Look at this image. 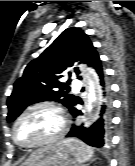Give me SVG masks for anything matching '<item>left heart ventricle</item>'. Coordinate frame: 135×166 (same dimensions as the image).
Returning <instances> with one entry per match:
<instances>
[{"label":"left heart ventricle","mask_w":135,"mask_h":166,"mask_svg":"<svg viewBox=\"0 0 135 166\" xmlns=\"http://www.w3.org/2000/svg\"><path fill=\"white\" fill-rule=\"evenodd\" d=\"M60 127L57 112L49 108H40L29 112L16 128V138L23 144H32L55 135Z\"/></svg>","instance_id":"left-heart-ventricle-1"}]
</instances>
